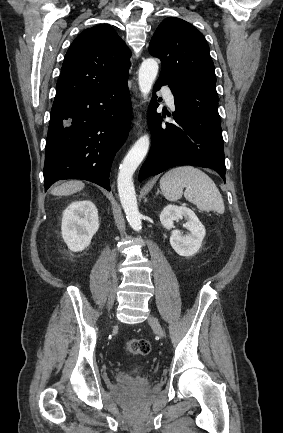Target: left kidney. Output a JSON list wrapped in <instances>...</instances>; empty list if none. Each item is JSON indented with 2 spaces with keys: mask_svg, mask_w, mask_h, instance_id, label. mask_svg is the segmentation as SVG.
Returning <instances> with one entry per match:
<instances>
[{
  "mask_svg": "<svg viewBox=\"0 0 283 433\" xmlns=\"http://www.w3.org/2000/svg\"><path fill=\"white\" fill-rule=\"evenodd\" d=\"M185 218L183 225L188 234L182 235L181 231L173 230L170 236V244L175 252L181 256H193L200 249L206 231L195 213L187 207L167 205L160 214V221L164 228H174V221Z\"/></svg>",
  "mask_w": 283,
  "mask_h": 433,
  "instance_id": "5707ae66",
  "label": "left kidney"
}]
</instances>
